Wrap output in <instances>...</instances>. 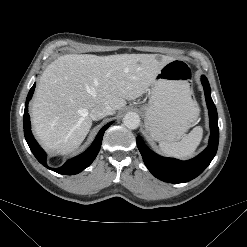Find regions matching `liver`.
<instances>
[{"label":"liver","instance_id":"liver-1","mask_svg":"<svg viewBox=\"0 0 247 247\" xmlns=\"http://www.w3.org/2000/svg\"><path fill=\"white\" fill-rule=\"evenodd\" d=\"M173 60L156 54L60 56L44 70L35 91L32 124L38 140L57 154L73 152L92 126L94 107L121 110L126 100L142 96Z\"/></svg>","mask_w":247,"mask_h":247}]
</instances>
